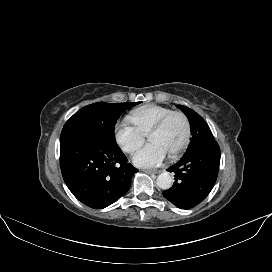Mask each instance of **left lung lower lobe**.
Returning <instances> with one entry per match:
<instances>
[{"instance_id": "0a47b994", "label": "left lung lower lobe", "mask_w": 272, "mask_h": 272, "mask_svg": "<svg viewBox=\"0 0 272 272\" xmlns=\"http://www.w3.org/2000/svg\"><path fill=\"white\" fill-rule=\"evenodd\" d=\"M220 165L217 142L206 143L184 153L168 168L175 173L173 186L163 196L181 209H190L202 202L213 188Z\"/></svg>"}]
</instances>
